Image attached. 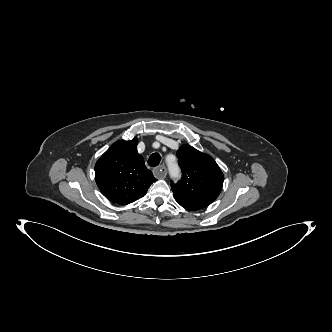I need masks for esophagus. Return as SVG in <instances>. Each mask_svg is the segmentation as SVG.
Masks as SVG:
<instances>
[{
    "label": "esophagus",
    "mask_w": 332,
    "mask_h": 332,
    "mask_svg": "<svg viewBox=\"0 0 332 332\" xmlns=\"http://www.w3.org/2000/svg\"><path fill=\"white\" fill-rule=\"evenodd\" d=\"M153 174L158 179H164L167 175V169L164 165H160L154 168Z\"/></svg>",
    "instance_id": "1"
}]
</instances>
